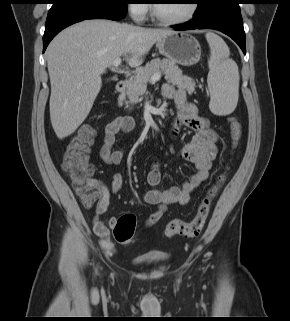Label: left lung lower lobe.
<instances>
[{
    "label": "left lung lower lobe",
    "mask_w": 290,
    "mask_h": 321,
    "mask_svg": "<svg viewBox=\"0 0 290 321\" xmlns=\"http://www.w3.org/2000/svg\"><path fill=\"white\" fill-rule=\"evenodd\" d=\"M241 0H218L189 22L171 26L177 31L190 29H215L231 37L246 54L245 32L239 4Z\"/></svg>",
    "instance_id": "obj_1"
}]
</instances>
